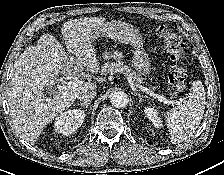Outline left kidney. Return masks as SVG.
<instances>
[{"label": "left kidney", "instance_id": "5707ae66", "mask_svg": "<svg viewBox=\"0 0 224 175\" xmlns=\"http://www.w3.org/2000/svg\"><path fill=\"white\" fill-rule=\"evenodd\" d=\"M146 117L153 123L154 127H162V121L158 117V112L153 107H146L145 110Z\"/></svg>", "mask_w": 224, "mask_h": 175}]
</instances>
